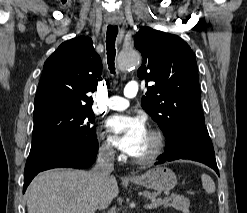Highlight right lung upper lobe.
Returning a JSON list of instances; mask_svg holds the SVG:
<instances>
[{"label":"right lung upper lobe","instance_id":"right-lung-upper-lobe-1","mask_svg":"<svg viewBox=\"0 0 247 213\" xmlns=\"http://www.w3.org/2000/svg\"><path fill=\"white\" fill-rule=\"evenodd\" d=\"M102 73L100 56L91 38L80 36L62 43L46 60L35 96L34 112L51 106L90 108Z\"/></svg>","mask_w":247,"mask_h":213}]
</instances>
